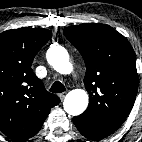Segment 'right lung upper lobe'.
I'll return each mask as SVG.
<instances>
[{
    "label": "right lung upper lobe",
    "instance_id": "1",
    "mask_svg": "<svg viewBox=\"0 0 142 142\" xmlns=\"http://www.w3.org/2000/svg\"><path fill=\"white\" fill-rule=\"evenodd\" d=\"M51 37L50 30L40 28L0 34V130L13 140L36 135L50 109L60 102L31 69L36 53Z\"/></svg>",
    "mask_w": 142,
    "mask_h": 142
}]
</instances>
